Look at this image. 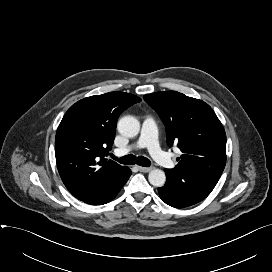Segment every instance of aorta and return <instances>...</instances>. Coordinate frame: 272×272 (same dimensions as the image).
Instances as JSON below:
<instances>
[{
    "label": "aorta",
    "mask_w": 272,
    "mask_h": 272,
    "mask_svg": "<svg viewBox=\"0 0 272 272\" xmlns=\"http://www.w3.org/2000/svg\"><path fill=\"white\" fill-rule=\"evenodd\" d=\"M117 128L121 135L134 137L139 133L140 123L133 116H124L118 121ZM148 180L151 185L162 187L165 184L166 175L164 171L160 169H153L149 172Z\"/></svg>",
    "instance_id": "aorta-1"
}]
</instances>
